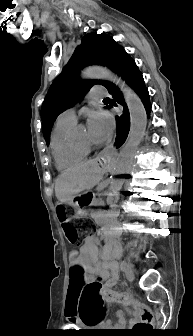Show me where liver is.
I'll return each instance as SVG.
<instances>
[{"instance_id":"6515ba94","label":"liver","mask_w":193,"mask_h":336,"mask_svg":"<svg viewBox=\"0 0 193 336\" xmlns=\"http://www.w3.org/2000/svg\"><path fill=\"white\" fill-rule=\"evenodd\" d=\"M110 161L100 164V159L79 163L62 172L55 181V195L62 203H71L74 196L96 186L108 171Z\"/></svg>"}]
</instances>
